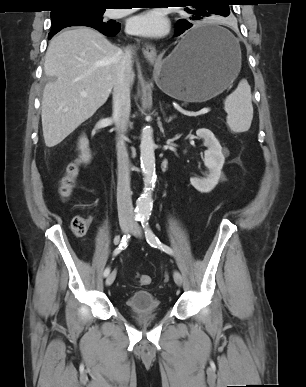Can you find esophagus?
I'll list each match as a JSON object with an SVG mask.
<instances>
[{"instance_id": "1", "label": "esophagus", "mask_w": 306, "mask_h": 387, "mask_svg": "<svg viewBox=\"0 0 306 387\" xmlns=\"http://www.w3.org/2000/svg\"><path fill=\"white\" fill-rule=\"evenodd\" d=\"M143 54L148 62L154 64L158 60L157 50L154 45L146 43L143 47Z\"/></svg>"}]
</instances>
